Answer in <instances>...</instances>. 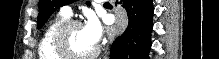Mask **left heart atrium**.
Returning <instances> with one entry per match:
<instances>
[{"mask_svg": "<svg viewBox=\"0 0 219 59\" xmlns=\"http://www.w3.org/2000/svg\"><path fill=\"white\" fill-rule=\"evenodd\" d=\"M83 31L88 39L97 45L102 35V28L99 22L94 18H90L83 26Z\"/></svg>", "mask_w": 219, "mask_h": 59, "instance_id": "39dd6f15", "label": "left heart atrium"}]
</instances>
